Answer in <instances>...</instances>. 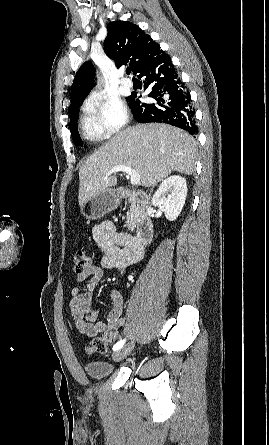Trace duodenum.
Masks as SVG:
<instances>
[{"label":"duodenum","instance_id":"duodenum-1","mask_svg":"<svg viewBox=\"0 0 269 445\" xmlns=\"http://www.w3.org/2000/svg\"><path fill=\"white\" fill-rule=\"evenodd\" d=\"M120 197L134 201L138 205L140 212L136 226V241L140 246H145L153 237V223L147 212L149 205L148 195L142 190L124 189L120 192Z\"/></svg>","mask_w":269,"mask_h":445}]
</instances>
